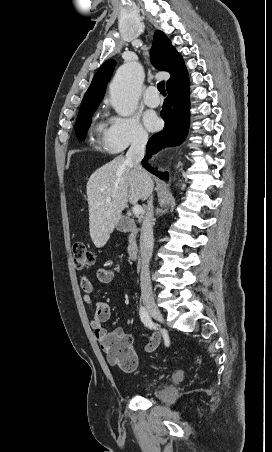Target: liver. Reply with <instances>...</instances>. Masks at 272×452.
Masks as SVG:
<instances>
[{"label": "liver", "mask_w": 272, "mask_h": 452, "mask_svg": "<svg viewBox=\"0 0 272 452\" xmlns=\"http://www.w3.org/2000/svg\"><path fill=\"white\" fill-rule=\"evenodd\" d=\"M146 186L139 172L122 155L90 176L87 182L89 231L96 247L101 248L107 243L127 202L142 200ZM108 197L110 201L106 200Z\"/></svg>", "instance_id": "6515ba94"}]
</instances>
